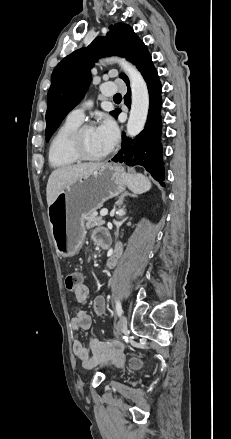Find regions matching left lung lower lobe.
Here are the masks:
<instances>
[{
    "instance_id": "1",
    "label": "left lung lower lobe",
    "mask_w": 231,
    "mask_h": 439,
    "mask_svg": "<svg viewBox=\"0 0 231 439\" xmlns=\"http://www.w3.org/2000/svg\"><path fill=\"white\" fill-rule=\"evenodd\" d=\"M136 67L144 77L149 91V112L143 131L134 139L127 138L123 133L120 151L112 158L113 162L125 163L128 166L141 165L150 172L152 177L164 186V164L161 144V83L158 73L153 66L151 56L145 49L138 57ZM125 83L128 92L124 96L125 104L131 105V90L129 80ZM120 113L117 110L116 116Z\"/></svg>"
}]
</instances>
